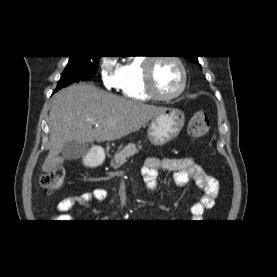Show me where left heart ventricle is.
I'll use <instances>...</instances> for the list:
<instances>
[{"label":"left heart ventricle","instance_id":"left-heart-ventricle-1","mask_svg":"<svg viewBox=\"0 0 277 277\" xmlns=\"http://www.w3.org/2000/svg\"><path fill=\"white\" fill-rule=\"evenodd\" d=\"M153 76L155 88L161 95H171L180 87V69L169 59H159L153 64Z\"/></svg>","mask_w":277,"mask_h":277}]
</instances>
